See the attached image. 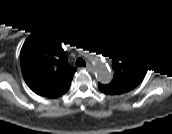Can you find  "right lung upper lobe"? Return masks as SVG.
<instances>
[{
    "mask_svg": "<svg viewBox=\"0 0 172 134\" xmlns=\"http://www.w3.org/2000/svg\"><path fill=\"white\" fill-rule=\"evenodd\" d=\"M66 31L55 24H43L25 41L20 64L26 84L38 95L57 98L66 93L76 69L67 62L61 43Z\"/></svg>",
    "mask_w": 172,
    "mask_h": 134,
    "instance_id": "cb5924a9",
    "label": "right lung upper lobe"
}]
</instances>
